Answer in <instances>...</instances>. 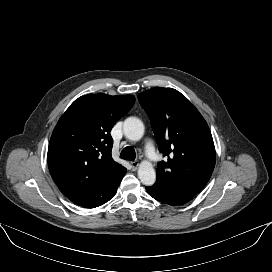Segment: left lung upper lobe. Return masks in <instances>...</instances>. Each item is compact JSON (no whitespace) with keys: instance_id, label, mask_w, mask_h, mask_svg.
<instances>
[{"instance_id":"obj_1","label":"left lung upper lobe","mask_w":272,"mask_h":272,"mask_svg":"<svg viewBox=\"0 0 272 272\" xmlns=\"http://www.w3.org/2000/svg\"><path fill=\"white\" fill-rule=\"evenodd\" d=\"M156 142L167 161L157 165L153 185L196 195L209 181L216 160L209 127L191 102L172 88L155 87L138 95Z\"/></svg>"}]
</instances>
